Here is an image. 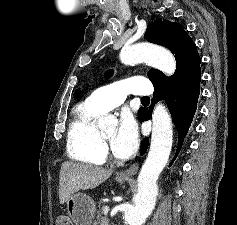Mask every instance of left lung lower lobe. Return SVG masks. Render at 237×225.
Here are the masks:
<instances>
[{"mask_svg":"<svg viewBox=\"0 0 237 225\" xmlns=\"http://www.w3.org/2000/svg\"><path fill=\"white\" fill-rule=\"evenodd\" d=\"M200 76L201 75H196L181 83L155 88L150 110L147 108H141L139 111L141 122L149 120L152 117L154 104L161 99L166 101L172 120L178 129L179 144L177 153L181 148L183 139L189 130L196 111L197 101L200 94ZM148 144L149 138H145L142 144L141 154L146 152ZM173 160H175V157ZM171 164L172 162L170 165Z\"/></svg>","mask_w":237,"mask_h":225,"instance_id":"1","label":"left lung lower lobe"}]
</instances>
